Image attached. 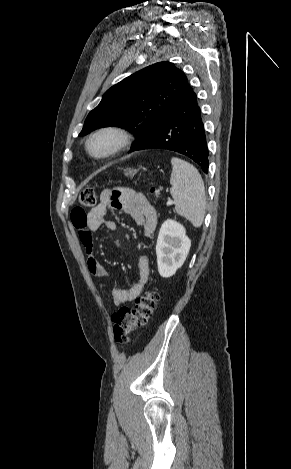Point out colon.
Here are the masks:
<instances>
[{"mask_svg": "<svg viewBox=\"0 0 291 469\" xmlns=\"http://www.w3.org/2000/svg\"><path fill=\"white\" fill-rule=\"evenodd\" d=\"M79 202L83 207H92L96 204V193L90 187L82 188L79 194ZM84 211L75 208L73 214L79 216ZM159 299L156 289L147 290L138 297L133 308L122 307L112 316L113 336L117 343L126 344L130 340V334L136 329L145 327L150 322Z\"/></svg>", "mask_w": 291, "mask_h": 469, "instance_id": "5ec220e1", "label": "colon"}]
</instances>
